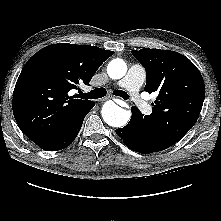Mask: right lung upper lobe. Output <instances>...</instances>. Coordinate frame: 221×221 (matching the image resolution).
<instances>
[{"label": "right lung upper lobe", "mask_w": 221, "mask_h": 221, "mask_svg": "<svg viewBox=\"0 0 221 221\" xmlns=\"http://www.w3.org/2000/svg\"><path fill=\"white\" fill-rule=\"evenodd\" d=\"M113 51L91 45L53 44L35 53L23 67L13 93L16 122L41 145L77 122L94 102L69 96L88 84Z\"/></svg>", "instance_id": "1"}]
</instances>
